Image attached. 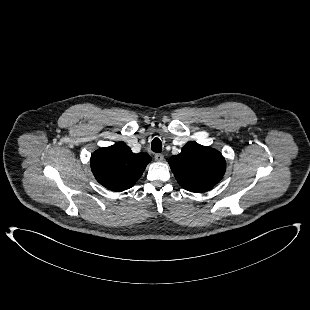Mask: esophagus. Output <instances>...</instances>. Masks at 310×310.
<instances>
[{"mask_svg":"<svg viewBox=\"0 0 310 310\" xmlns=\"http://www.w3.org/2000/svg\"><path fill=\"white\" fill-rule=\"evenodd\" d=\"M154 158H155V160L158 161V162H161V161L164 160L163 154H160V153L155 154V155H154Z\"/></svg>","mask_w":310,"mask_h":310,"instance_id":"34e87169","label":"esophagus"}]
</instances>
